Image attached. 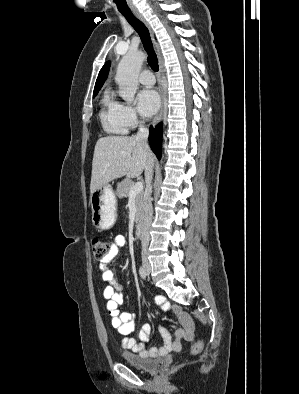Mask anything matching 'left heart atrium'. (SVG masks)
Masks as SVG:
<instances>
[{"label": "left heart atrium", "mask_w": 299, "mask_h": 394, "mask_svg": "<svg viewBox=\"0 0 299 394\" xmlns=\"http://www.w3.org/2000/svg\"><path fill=\"white\" fill-rule=\"evenodd\" d=\"M136 101L139 112L146 117L154 115L160 104L158 94L150 88L141 90L137 94Z\"/></svg>", "instance_id": "1"}]
</instances>
